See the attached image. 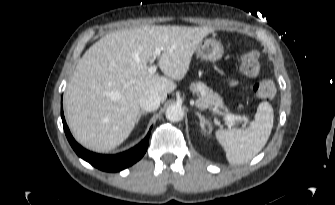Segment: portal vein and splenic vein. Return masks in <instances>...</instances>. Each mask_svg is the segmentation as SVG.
Here are the masks:
<instances>
[{"mask_svg":"<svg viewBox=\"0 0 335 205\" xmlns=\"http://www.w3.org/2000/svg\"><path fill=\"white\" fill-rule=\"evenodd\" d=\"M162 50H163V48L156 47L155 51H154V56L155 57H159ZM156 70H157V67L155 65H151L148 68V72L150 74H154L156 72ZM211 110L214 113H218L220 115H224V120L226 121L228 127H231L233 124H235L236 121H240V120H244L245 119L244 117H241V116H235V115H232V114H230V115L224 114L223 112L219 111L218 109H216L214 107H211Z\"/></svg>","mask_w":335,"mask_h":205,"instance_id":"obj_1","label":"portal vein and splenic vein"}]
</instances>
